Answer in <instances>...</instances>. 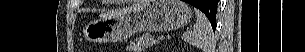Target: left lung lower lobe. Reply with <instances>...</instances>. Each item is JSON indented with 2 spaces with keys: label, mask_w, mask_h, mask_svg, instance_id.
Here are the masks:
<instances>
[{
  "label": "left lung lower lobe",
  "mask_w": 305,
  "mask_h": 52,
  "mask_svg": "<svg viewBox=\"0 0 305 52\" xmlns=\"http://www.w3.org/2000/svg\"><path fill=\"white\" fill-rule=\"evenodd\" d=\"M184 1L197 7L202 12H204V9L216 10L218 4V0H184ZM215 25H212L214 31H215Z\"/></svg>",
  "instance_id": "obj_1"
}]
</instances>
